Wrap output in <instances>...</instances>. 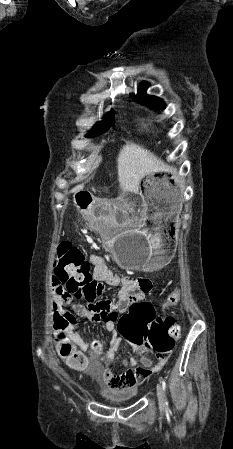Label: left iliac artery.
<instances>
[{
    "label": "left iliac artery",
    "instance_id": "left-iliac-artery-1",
    "mask_svg": "<svg viewBox=\"0 0 233 449\" xmlns=\"http://www.w3.org/2000/svg\"><path fill=\"white\" fill-rule=\"evenodd\" d=\"M162 386H163V390H165V388H166V382H165V380L162 381ZM166 404H167V402H166Z\"/></svg>",
    "mask_w": 233,
    "mask_h": 449
}]
</instances>
